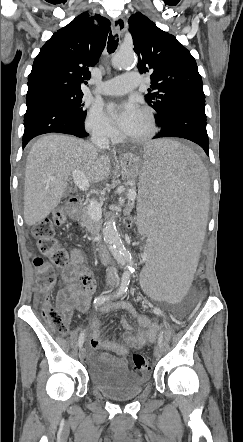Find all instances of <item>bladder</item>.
Listing matches in <instances>:
<instances>
[{"instance_id": "1", "label": "bladder", "mask_w": 243, "mask_h": 442, "mask_svg": "<svg viewBox=\"0 0 243 442\" xmlns=\"http://www.w3.org/2000/svg\"><path fill=\"white\" fill-rule=\"evenodd\" d=\"M88 376L93 386L104 396L115 401H126L139 396L146 378L120 366L113 357L100 355L90 362Z\"/></svg>"}]
</instances>
